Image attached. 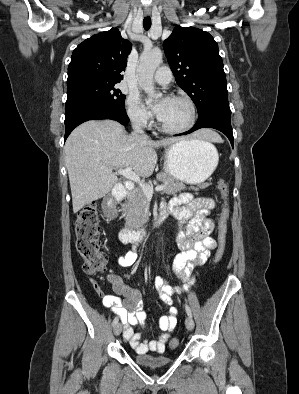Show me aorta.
Masks as SVG:
<instances>
[{"label": "aorta", "mask_w": 299, "mask_h": 394, "mask_svg": "<svg viewBox=\"0 0 299 394\" xmlns=\"http://www.w3.org/2000/svg\"><path fill=\"white\" fill-rule=\"evenodd\" d=\"M162 62V52L159 49L150 52H143L140 56V63L138 66L139 85L150 97H160L162 94H156L153 82V75L157 67Z\"/></svg>", "instance_id": "1"}]
</instances>
